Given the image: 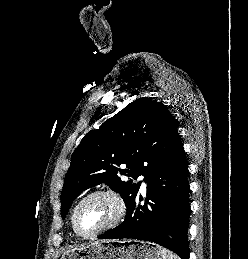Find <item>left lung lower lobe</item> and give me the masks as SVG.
<instances>
[{
	"label": "left lung lower lobe",
	"instance_id": "obj_1",
	"mask_svg": "<svg viewBox=\"0 0 248 259\" xmlns=\"http://www.w3.org/2000/svg\"><path fill=\"white\" fill-rule=\"evenodd\" d=\"M187 177L188 165L181 143L147 177L146 202L141 205L142 197L138 194L128 206L125 220L98 238L150 241L189 259Z\"/></svg>",
	"mask_w": 248,
	"mask_h": 259
}]
</instances>
